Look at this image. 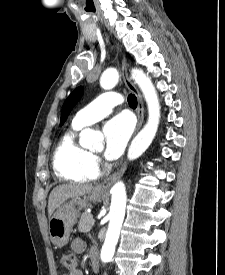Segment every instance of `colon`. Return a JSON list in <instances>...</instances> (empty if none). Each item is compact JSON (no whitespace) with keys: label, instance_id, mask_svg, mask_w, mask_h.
<instances>
[{"label":"colon","instance_id":"1","mask_svg":"<svg viewBox=\"0 0 225 275\" xmlns=\"http://www.w3.org/2000/svg\"><path fill=\"white\" fill-rule=\"evenodd\" d=\"M62 266L68 271H74L77 267V258L74 254L67 253L61 257Z\"/></svg>","mask_w":225,"mask_h":275}]
</instances>
